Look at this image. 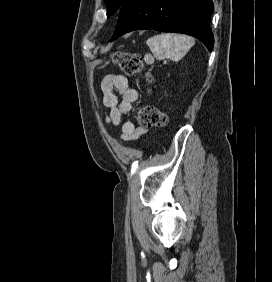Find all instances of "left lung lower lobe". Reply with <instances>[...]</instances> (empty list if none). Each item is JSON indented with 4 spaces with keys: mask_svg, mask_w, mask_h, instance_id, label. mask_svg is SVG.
I'll use <instances>...</instances> for the list:
<instances>
[{
    "mask_svg": "<svg viewBox=\"0 0 272 282\" xmlns=\"http://www.w3.org/2000/svg\"><path fill=\"white\" fill-rule=\"evenodd\" d=\"M213 9L211 0H126L111 41L130 31L153 29L192 35L211 51Z\"/></svg>",
    "mask_w": 272,
    "mask_h": 282,
    "instance_id": "1",
    "label": "left lung lower lobe"
}]
</instances>
